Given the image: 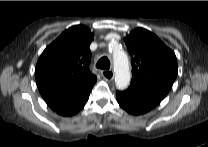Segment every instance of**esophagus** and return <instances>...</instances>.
Listing matches in <instances>:
<instances>
[{"label":"esophagus","mask_w":208,"mask_h":147,"mask_svg":"<svg viewBox=\"0 0 208 147\" xmlns=\"http://www.w3.org/2000/svg\"><path fill=\"white\" fill-rule=\"evenodd\" d=\"M102 76L109 81H112L114 79V71L113 70H103L101 72Z\"/></svg>","instance_id":"esophagus-1"}]
</instances>
